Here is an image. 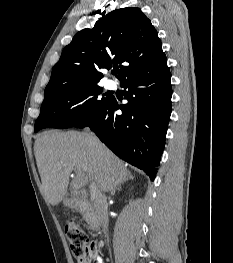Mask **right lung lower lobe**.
<instances>
[{"instance_id": "98d812e1", "label": "right lung lower lobe", "mask_w": 233, "mask_h": 263, "mask_svg": "<svg viewBox=\"0 0 233 263\" xmlns=\"http://www.w3.org/2000/svg\"><path fill=\"white\" fill-rule=\"evenodd\" d=\"M169 68L129 77L120 85L127 104L114 97L75 127L88 126L121 159L144 170L154 180L171 114ZM121 110L122 114H117Z\"/></svg>"}]
</instances>
